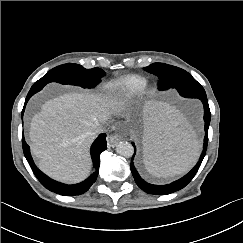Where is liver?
Listing matches in <instances>:
<instances>
[{"mask_svg":"<svg viewBox=\"0 0 243 243\" xmlns=\"http://www.w3.org/2000/svg\"><path fill=\"white\" fill-rule=\"evenodd\" d=\"M118 106L115 99L89 91L46 101L33 116L29 132L40 169L62 182L83 180L91 169L89 148L94 132Z\"/></svg>","mask_w":243,"mask_h":243,"instance_id":"obj_1","label":"liver"}]
</instances>
